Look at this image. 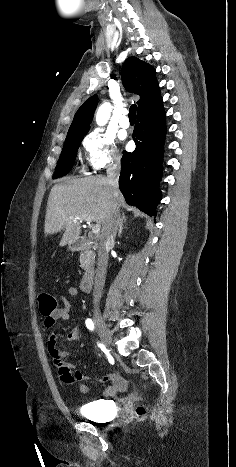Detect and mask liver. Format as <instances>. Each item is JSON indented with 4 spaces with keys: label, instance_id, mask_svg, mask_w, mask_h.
<instances>
[{
    "label": "liver",
    "instance_id": "1",
    "mask_svg": "<svg viewBox=\"0 0 236 467\" xmlns=\"http://www.w3.org/2000/svg\"><path fill=\"white\" fill-rule=\"evenodd\" d=\"M125 206L120 192L113 196L106 177L71 178L54 185L50 191L44 233L48 236L64 230L59 245L65 246L79 237L83 217L91 216L92 221L103 227Z\"/></svg>",
    "mask_w": 236,
    "mask_h": 467
}]
</instances>
